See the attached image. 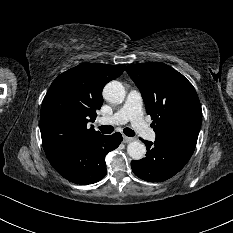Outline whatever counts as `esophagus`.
I'll return each instance as SVG.
<instances>
[{"label":"esophagus","instance_id":"obj_1","mask_svg":"<svg viewBox=\"0 0 233 233\" xmlns=\"http://www.w3.org/2000/svg\"><path fill=\"white\" fill-rule=\"evenodd\" d=\"M134 140H135V138H133V137L123 136V143H130Z\"/></svg>","mask_w":233,"mask_h":233}]
</instances>
